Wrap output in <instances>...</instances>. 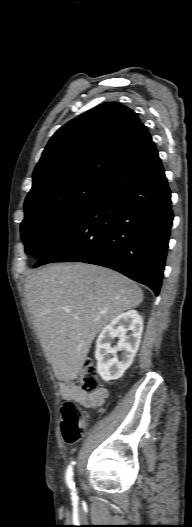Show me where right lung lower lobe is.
<instances>
[{"label":"right lung lower lobe","mask_w":192,"mask_h":527,"mask_svg":"<svg viewBox=\"0 0 192 527\" xmlns=\"http://www.w3.org/2000/svg\"><path fill=\"white\" fill-rule=\"evenodd\" d=\"M172 220L171 192L151 142L106 182L87 211L34 267L51 262L96 264L158 295Z\"/></svg>","instance_id":"right-lung-lower-lobe-1"}]
</instances>
